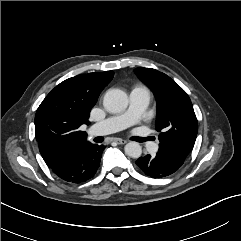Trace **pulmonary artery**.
Masks as SVG:
<instances>
[{
	"label": "pulmonary artery",
	"mask_w": 241,
	"mask_h": 241,
	"mask_svg": "<svg viewBox=\"0 0 241 241\" xmlns=\"http://www.w3.org/2000/svg\"><path fill=\"white\" fill-rule=\"evenodd\" d=\"M150 98L151 93L147 87L135 86L130 92V105L127 111L94 124L90 128V133L106 135L138 123L149 105Z\"/></svg>",
	"instance_id": "1"
}]
</instances>
